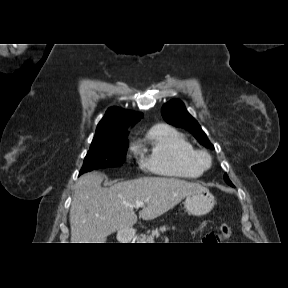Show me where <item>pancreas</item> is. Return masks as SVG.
I'll return each instance as SVG.
<instances>
[{"label":"pancreas","mask_w":288,"mask_h":288,"mask_svg":"<svg viewBox=\"0 0 288 288\" xmlns=\"http://www.w3.org/2000/svg\"><path fill=\"white\" fill-rule=\"evenodd\" d=\"M169 228L166 226L160 227V229H153L152 231H147L146 234H142L138 237V243H150L153 242L155 237L160 236V232H165Z\"/></svg>","instance_id":"1"}]
</instances>
